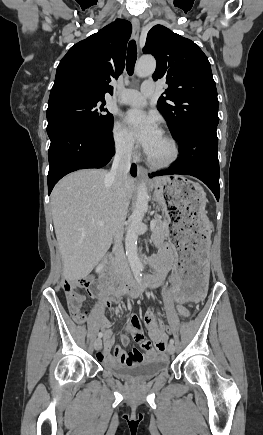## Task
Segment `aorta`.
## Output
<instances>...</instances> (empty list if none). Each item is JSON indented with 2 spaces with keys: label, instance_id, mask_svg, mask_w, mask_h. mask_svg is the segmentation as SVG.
<instances>
[{
  "label": "aorta",
  "instance_id": "762f6f07",
  "mask_svg": "<svg viewBox=\"0 0 263 435\" xmlns=\"http://www.w3.org/2000/svg\"><path fill=\"white\" fill-rule=\"evenodd\" d=\"M155 68L156 61L154 57L143 56L136 64L135 73L138 77H147L154 73ZM148 200L147 187L146 184L142 182L137 191L135 208L131 215V222L125 237L126 256L135 274H138L142 269V263L138 257L137 239L144 214L148 209Z\"/></svg>",
  "mask_w": 263,
  "mask_h": 435
}]
</instances>
